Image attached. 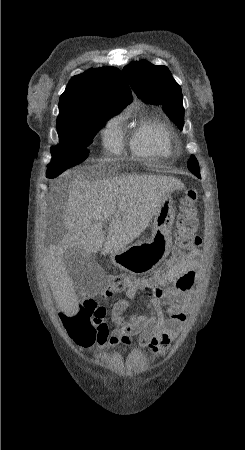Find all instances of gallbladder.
<instances>
[{
    "label": "gallbladder",
    "instance_id": "1",
    "mask_svg": "<svg viewBox=\"0 0 245 450\" xmlns=\"http://www.w3.org/2000/svg\"><path fill=\"white\" fill-rule=\"evenodd\" d=\"M94 263V257L81 250H70L65 255L69 276L77 284L83 271Z\"/></svg>",
    "mask_w": 245,
    "mask_h": 450
}]
</instances>
